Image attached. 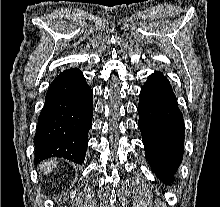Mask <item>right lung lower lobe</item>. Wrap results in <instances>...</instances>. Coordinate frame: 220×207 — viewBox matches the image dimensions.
<instances>
[{
  "mask_svg": "<svg viewBox=\"0 0 220 207\" xmlns=\"http://www.w3.org/2000/svg\"><path fill=\"white\" fill-rule=\"evenodd\" d=\"M93 93L83 73L71 68L51 83L38 117L35 162L63 157L82 164L92 125Z\"/></svg>",
  "mask_w": 220,
  "mask_h": 207,
  "instance_id": "right-lung-lower-lobe-1",
  "label": "right lung lower lobe"
}]
</instances>
